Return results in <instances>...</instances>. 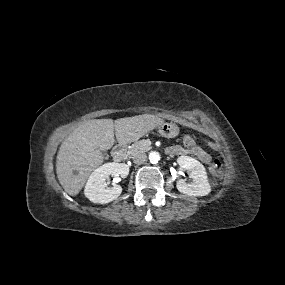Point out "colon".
<instances>
[{
  "label": "colon",
  "mask_w": 285,
  "mask_h": 285,
  "mask_svg": "<svg viewBox=\"0 0 285 285\" xmlns=\"http://www.w3.org/2000/svg\"><path fill=\"white\" fill-rule=\"evenodd\" d=\"M182 144L184 147H186L188 149H192L195 147L196 142H195L194 135L192 132L187 131L184 133L183 139H182ZM210 171L216 177H219L222 174V164L218 159H215L212 162L211 167H210Z\"/></svg>",
  "instance_id": "colon-1"
}]
</instances>
